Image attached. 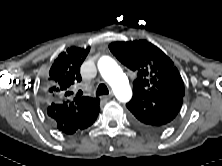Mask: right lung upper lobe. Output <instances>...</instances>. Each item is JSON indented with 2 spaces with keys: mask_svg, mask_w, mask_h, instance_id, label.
I'll return each instance as SVG.
<instances>
[{
  "mask_svg": "<svg viewBox=\"0 0 222 166\" xmlns=\"http://www.w3.org/2000/svg\"><path fill=\"white\" fill-rule=\"evenodd\" d=\"M89 50V47H71L61 52L52 64L44 84V96L47 97L49 105L70 102L76 116L83 117L86 121L95 112L99 99L81 95L73 97L70 90L81 81L80 66Z\"/></svg>",
  "mask_w": 222,
  "mask_h": 166,
  "instance_id": "obj_1",
  "label": "right lung upper lobe"
}]
</instances>
